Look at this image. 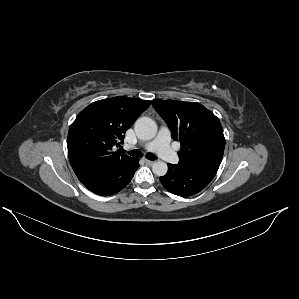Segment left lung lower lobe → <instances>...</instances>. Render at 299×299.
Returning a JSON list of instances; mask_svg holds the SVG:
<instances>
[{
	"label": "left lung lower lobe",
	"instance_id": "left-lung-lower-lobe-1",
	"mask_svg": "<svg viewBox=\"0 0 299 299\" xmlns=\"http://www.w3.org/2000/svg\"><path fill=\"white\" fill-rule=\"evenodd\" d=\"M219 166L210 164L173 165L160 177L162 185L178 196H191L203 190L214 178Z\"/></svg>",
	"mask_w": 299,
	"mask_h": 299
}]
</instances>
